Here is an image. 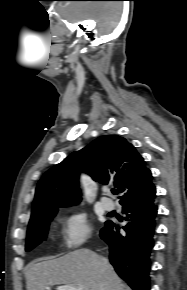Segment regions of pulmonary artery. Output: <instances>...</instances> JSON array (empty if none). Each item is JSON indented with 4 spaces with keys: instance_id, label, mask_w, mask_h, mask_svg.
Masks as SVG:
<instances>
[{
    "instance_id": "obj_1",
    "label": "pulmonary artery",
    "mask_w": 187,
    "mask_h": 290,
    "mask_svg": "<svg viewBox=\"0 0 187 290\" xmlns=\"http://www.w3.org/2000/svg\"><path fill=\"white\" fill-rule=\"evenodd\" d=\"M101 205L106 211H112L115 208L114 202L109 198H101Z\"/></svg>"
}]
</instances>
